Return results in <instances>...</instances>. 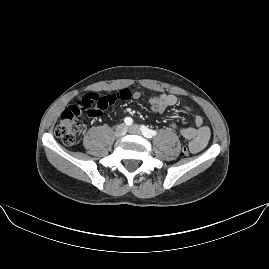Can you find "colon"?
Instances as JSON below:
<instances>
[{
	"label": "colon",
	"mask_w": 269,
	"mask_h": 269,
	"mask_svg": "<svg viewBox=\"0 0 269 269\" xmlns=\"http://www.w3.org/2000/svg\"><path fill=\"white\" fill-rule=\"evenodd\" d=\"M128 96L129 93L123 89L105 97L92 93L84 94L80 102L69 106L61 113L60 119L54 129L55 135L64 144L74 145L77 142L78 136L86 127L87 121L82 117L84 112H87L89 121L94 120L100 116L108 104L118 100V98L123 99ZM182 155L185 157L189 155V149L187 147L183 148Z\"/></svg>",
	"instance_id": "colon-1"
}]
</instances>
